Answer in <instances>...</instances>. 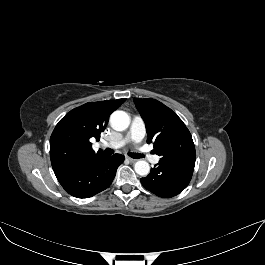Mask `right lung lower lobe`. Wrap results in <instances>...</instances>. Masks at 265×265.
<instances>
[{
    "label": "right lung lower lobe",
    "instance_id": "right-lung-lower-lobe-1",
    "mask_svg": "<svg viewBox=\"0 0 265 265\" xmlns=\"http://www.w3.org/2000/svg\"><path fill=\"white\" fill-rule=\"evenodd\" d=\"M123 161L121 154H103L57 179L70 195L89 198L110 186Z\"/></svg>",
    "mask_w": 265,
    "mask_h": 265
}]
</instances>
